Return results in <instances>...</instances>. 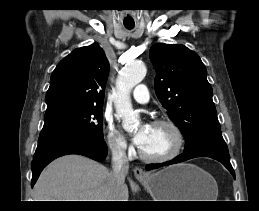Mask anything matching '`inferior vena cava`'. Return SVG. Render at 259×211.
Returning <instances> with one entry per match:
<instances>
[{
    "instance_id": "obj_1",
    "label": "inferior vena cava",
    "mask_w": 259,
    "mask_h": 211,
    "mask_svg": "<svg viewBox=\"0 0 259 211\" xmlns=\"http://www.w3.org/2000/svg\"><path fill=\"white\" fill-rule=\"evenodd\" d=\"M112 149V171L110 173L111 177V186L113 194L111 196L110 201H118L120 199H115V192L118 190L120 186L124 184L125 177L129 170V162L127 159V155L125 149H123L120 145L114 144L111 147Z\"/></svg>"
}]
</instances>
